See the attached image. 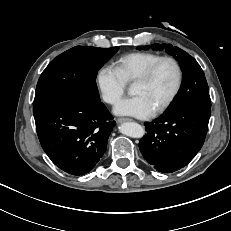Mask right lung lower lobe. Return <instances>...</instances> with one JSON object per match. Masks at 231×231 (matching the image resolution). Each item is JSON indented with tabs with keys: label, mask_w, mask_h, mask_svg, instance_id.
<instances>
[{
	"label": "right lung lower lobe",
	"mask_w": 231,
	"mask_h": 231,
	"mask_svg": "<svg viewBox=\"0 0 231 231\" xmlns=\"http://www.w3.org/2000/svg\"><path fill=\"white\" fill-rule=\"evenodd\" d=\"M33 115L43 150L57 167L72 175L94 168L116 125L100 101L56 99L34 106Z\"/></svg>",
	"instance_id": "1"
}]
</instances>
